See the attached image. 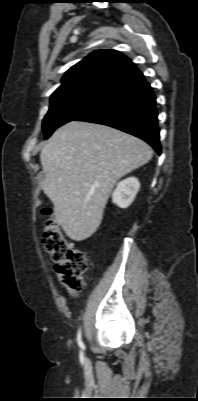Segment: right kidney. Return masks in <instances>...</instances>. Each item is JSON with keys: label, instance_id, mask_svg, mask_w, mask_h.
I'll list each match as a JSON object with an SVG mask.
<instances>
[{"label": "right kidney", "instance_id": "ca27d5eb", "mask_svg": "<svg viewBox=\"0 0 198 401\" xmlns=\"http://www.w3.org/2000/svg\"><path fill=\"white\" fill-rule=\"evenodd\" d=\"M140 189L137 178L129 177L119 182L112 193V202L120 208H127L134 201Z\"/></svg>", "mask_w": 198, "mask_h": 401}]
</instances>
